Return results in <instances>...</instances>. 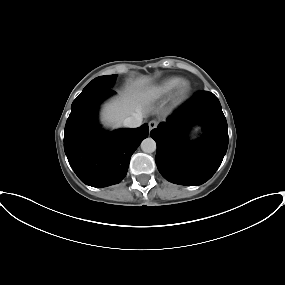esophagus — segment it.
Returning a JSON list of instances; mask_svg holds the SVG:
<instances>
[{
	"instance_id": "34e87169",
	"label": "esophagus",
	"mask_w": 285,
	"mask_h": 285,
	"mask_svg": "<svg viewBox=\"0 0 285 285\" xmlns=\"http://www.w3.org/2000/svg\"><path fill=\"white\" fill-rule=\"evenodd\" d=\"M148 125H149V129H150V130H153V129H155V128L157 127L158 121L152 120V121L149 122Z\"/></svg>"
}]
</instances>
